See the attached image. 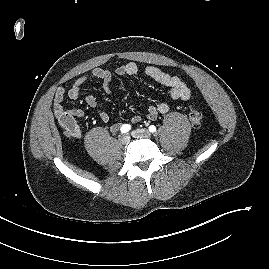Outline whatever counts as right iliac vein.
Instances as JSON below:
<instances>
[{
  "mask_svg": "<svg viewBox=\"0 0 269 269\" xmlns=\"http://www.w3.org/2000/svg\"><path fill=\"white\" fill-rule=\"evenodd\" d=\"M130 141V137L128 134H122L119 137V142L123 145L128 144Z\"/></svg>",
  "mask_w": 269,
  "mask_h": 269,
  "instance_id": "obj_1",
  "label": "right iliac vein"
}]
</instances>
